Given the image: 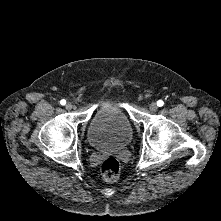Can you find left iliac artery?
Listing matches in <instances>:
<instances>
[{
	"instance_id": "44dca946",
	"label": "left iliac artery",
	"mask_w": 221,
	"mask_h": 221,
	"mask_svg": "<svg viewBox=\"0 0 221 221\" xmlns=\"http://www.w3.org/2000/svg\"><path fill=\"white\" fill-rule=\"evenodd\" d=\"M157 105H158L159 107H161V106L164 105V102H163L162 100H159V101L157 102Z\"/></svg>"
}]
</instances>
